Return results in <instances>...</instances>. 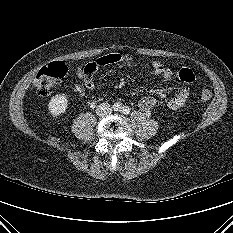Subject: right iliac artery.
I'll return each instance as SVG.
<instances>
[{"label": "right iliac artery", "instance_id": "82829eb1", "mask_svg": "<svg viewBox=\"0 0 233 233\" xmlns=\"http://www.w3.org/2000/svg\"><path fill=\"white\" fill-rule=\"evenodd\" d=\"M113 109H114V111H120L121 105H120L119 103H115V104L113 105Z\"/></svg>", "mask_w": 233, "mask_h": 233}]
</instances>
